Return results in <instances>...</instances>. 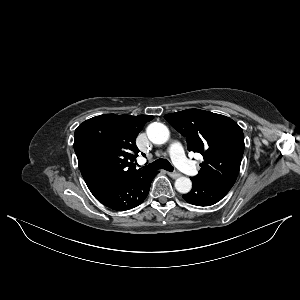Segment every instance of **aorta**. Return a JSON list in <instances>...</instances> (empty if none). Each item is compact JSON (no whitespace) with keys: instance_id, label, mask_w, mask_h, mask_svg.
Here are the masks:
<instances>
[{"instance_id":"762f6f07","label":"aorta","mask_w":300,"mask_h":300,"mask_svg":"<svg viewBox=\"0 0 300 300\" xmlns=\"http://www.w3.org/2000/svg\"><path fill=\"white\" fill-rule=\"evenodd\" d=\"M147 136L154 144H164L168 141L169 129L162 123L153 122L147 127ZM175 188L182 194L188 193L192 188V182L187 177H179L175 181Z\"/></svg>"}]
</instances>
